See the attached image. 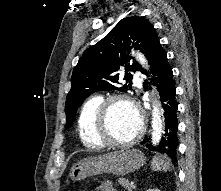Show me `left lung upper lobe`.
I'll return each mask as SVG.
<instances>
[{"label": "left lung upper lobe", "instance_id": "1", "mask_svg": "<svg viewBox=\"0 0 221 191\" xmlns=\"http://www.w3.org/2000/svg\"><path fill=\"white\" fill-rule=\"evenodd\" d=\"M156 38L152 24L144 18L132 16L123 18L106 37L88 48L72 73L71 90L65 105L67 127H70L78 107L92 93L102 90L126 92L131 89L130 85L117 86L119 70L124 67V79L131 82L132 75L127 71L135 72L142 68L129 56L130 50L139 49L147 56Z\"/></svg>", "mask_w": 221, "mask_h": 191}]
</instances>
